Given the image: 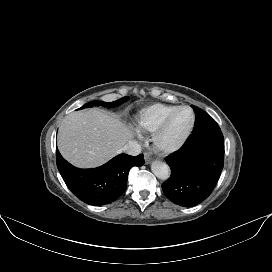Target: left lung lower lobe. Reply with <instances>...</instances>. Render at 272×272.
<instances>
[{
  "label": "left lung lower lobe",
  "instance_id": "obj_1",
  "mask_svg": "<svg viewBox=\"0 0 272 272\" xmlns=\"http://www.w3.org/2000/svg\"><path fill=\"white\" fill-rule=\"evenodd\" d=\"M170 178L162 184L172 202L192 207L213 191L224 166V137L218 124L192 133L184 145L165 158Z\"/></svg>",
  "mask_w": 272,
  "mask_h": 272
}]
</instances>
